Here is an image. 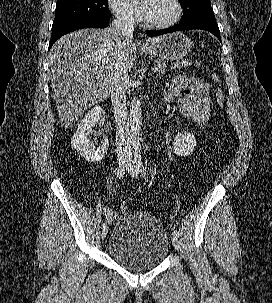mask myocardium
<instances>
[{
	"mask_svg": "<svg viewBox=\"0 0 272 303\" xmlns=\"http://www.w3.org/2000/svg\"><path fill=\"white\" fill-rule=\"evenodd\" d=\"M172 3L174 5L175 10H174V14L171 19H169L166 22H162V23H152L145 19L144 25L150 29H167V28H170L173 25H175L182 16L183 8H182L180 0H172Z\"/></svg>",
	"mask_w": 272,
	"mask_h": 303,
	"instance_id": "f54148a6",
	"label": "myocardium"
}]
</instances>
